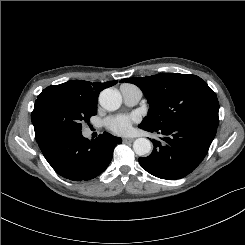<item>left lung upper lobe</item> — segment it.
I'll return each instance as SVG.
<instances>
[{"instance_id":"left-lung-upper-lobe-1","label":"left lung upper lobe","mask_w":245,"mask_h":245,"mask_svg":"<svg viewBox=\"0 0 245 245\" xmlns=\"http://www.w3.org/2000/svg\"><path fill=\"white\" fill-rule=\"evenodd\" d=\"M120 82L137 85L148 100V115L142 128H161L186 120L217 126L219 103L216 94L200 77L191 74L161 73Z\"/></svg>"}]
</instances>
